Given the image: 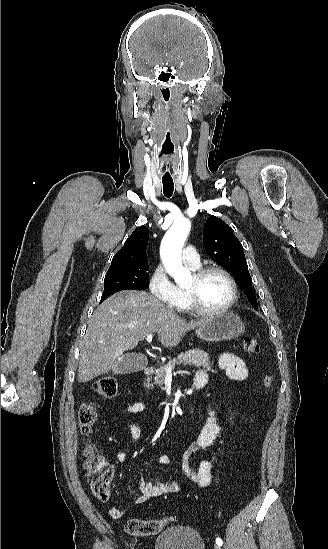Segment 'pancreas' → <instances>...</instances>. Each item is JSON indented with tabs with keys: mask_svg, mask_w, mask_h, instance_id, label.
I'll use <instances>...</instances> for the list:
<instances>
[{
	"mask_svg": "<svg viewBox=\"0 0 328 549\" xmlns=\"http://www.w3.org/2000/svg\"><path fill=\"white\" fill-rule=\"evenodd\" d=\"M175 365H195V367H203V369H212V363H210V357H207L202 351H187V353H180L176 359H170L167 363V367L174 369ZM167 367H159L156 369V377H154V385H164V379L167 375ZM152 377H147L145 383H143L146 389L152 387Z\"/></svg>",
	"mask_w": 328,
	"mask_h": 549,
	"instance_id": "pancreas-1",
	"label": "pancreas"
}]
</instances>
